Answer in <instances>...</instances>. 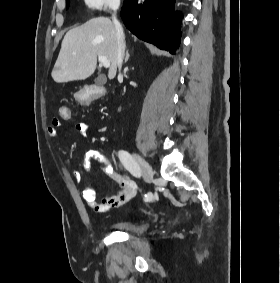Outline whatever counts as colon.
<instances>
[{
	"label": "colon",
	"mask_w": 280,
	"mask_h": 283,
	"mask_svg": "<svg viewBox=\"0 0 280 283\" xmlns=\"http://www.w3.org/2000/svg\"><path fill=\"white\" fill-rule=\"evenodd\" d=\"M104 94V87L100 86H91V87H82V93L75 94L74 98L77 99L80 103L86 104L90 103L93 99H97ZM69 105H76L77 103H66V105H60L58 108V118L59 119H73V116L76 115L75 111H72L71 108H68Z\"/></svg>",
	"instance_id": "colon-1"
}]
</instances>
